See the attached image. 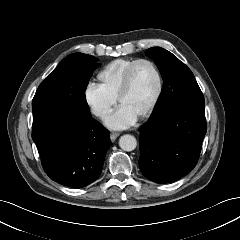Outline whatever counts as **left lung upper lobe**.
Wrapping results in <instances>:
<instances>
[{
  "instance_id": "5c2ea615",
  "label": "left lung upper lobe",
  "mask_w": 240,
  "mask_h": 240,
  "mask_svg": "<svg viewBox=\"0 0 240 240\" xmlns=\"http://www.w3.org/2000/svg\"><path fill=\"white\" fill-rule=\"evenodd\" d=\"M146 55L154 59L164 79L159 101L150 119L156 118L175 105L205 106L204 96L197 81L183 62L161 47L147 49Z\"/></svg>"
}]
</instances>
